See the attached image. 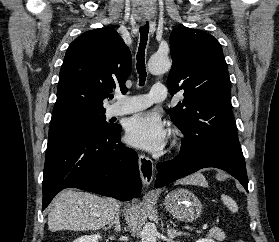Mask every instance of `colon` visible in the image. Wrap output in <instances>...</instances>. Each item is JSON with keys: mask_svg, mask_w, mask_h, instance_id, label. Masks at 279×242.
<instances>
[{"mask_svg": "<svg viewBox=\"0 0 279 242\" xmlns=\"http://www.w3.org/2000/svg\"><path fill=\"white\" fill-rule=\"evenodd\" d=\"M236 242H245V241H243V240H237Z\"/></svg>", "mask_w": 279, "mask_h": 242, "instance_id": "1", "label": "colon"}]
</instances>
